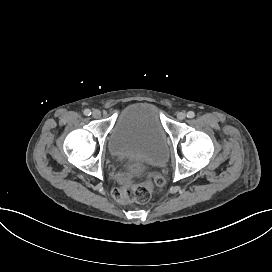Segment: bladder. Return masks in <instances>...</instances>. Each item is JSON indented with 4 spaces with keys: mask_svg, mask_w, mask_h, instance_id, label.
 Wrapping results in <instances>:
<instances>
[{
    "mask_svg": "<svg viewBox=\"0 0 272 272\" xmlns=\"http://www.w3.org/2000/svg\"><path fill=\"white\" fill-rule=\"evenodd\" d=\"M106 147L113 158L132 156L145 165L166 163L168 144L159 107L134 104L121 109Z\"/></svg>",
    "mask_w": 272,
    "mask_h": 272,
    "instance_id": "1",
    "label": "bladder"
}]
</instances>
